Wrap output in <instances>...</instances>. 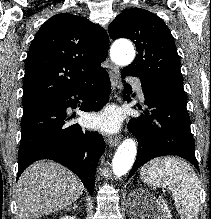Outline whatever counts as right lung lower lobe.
I'll return each instance as SVG.
<instances>
[{"mask_svg":"<svg viewBox=\"0 0 211 219\" xmlns=\"http://www.w3.org/2000/svg\"><path fill=\"white\" fill-rule=\"evenodd\" d=\"M110 88L104 70L66 94L23 112L17 179L34 161L52 159L73 171L92 194L97 162L105 150L104 139L79 124H69L72 117H67L66 109L76 108L81 99V110L99 111L108 101Z\"/></svg>","mask_w":211,"mask_h":219,"instance_id":"1","label":"right lung lower lobe"}]
</instances>
